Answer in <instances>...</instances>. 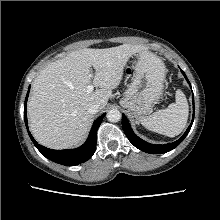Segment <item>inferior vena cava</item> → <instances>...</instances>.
I'll return each mask as SVG.
<instances>
[{"mask_svg":"<svg viewBox=\"0 0 220 220\" xmlns=\"http://www.w3.org/2000/svg\"><path fill=\"white\" fill-rule=\"evenodd\" d=\"M99 108H100V105L98 103H94L88 108V112L90 114H95L99 110Z\"/></svg>","mask_w":220,"mask_h":220,"instance_id":"obj_1","label":"inferior vena cava"}]
</instances>
